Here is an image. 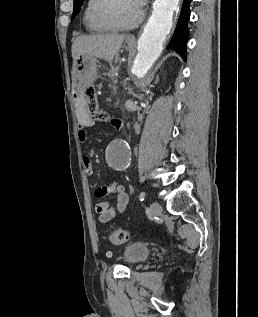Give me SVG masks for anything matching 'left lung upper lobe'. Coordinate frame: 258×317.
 Returning a JSON list of instances; mask_svg holds the SVG:
<instances>
[{"instance_id":"obj_1","label":"left lung upper lobe","mask_w":258,"mask_h":317,"mask_svg":"<svg viewBox=\"0 0 258 317\" xmlns=\"http://www.w3.org/2000/svg\"><path fill=\"white\" fill-rule=\"evenodd\" d=\"M83 1L84 0H74V11L72 14V19L78 14Z\"/></svg>"}]
</instances>
